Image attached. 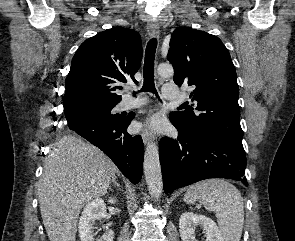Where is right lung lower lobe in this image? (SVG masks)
<instances>
[{
	"label": "right lung lower lobe",
	"instance_id": "right-lung-lower-lobe-1",
	"mask_svg": "<svg viewBox=\"0 0 295 241\" xmlns=\"http://www.w3.org/2000/svg\"><path fill=\"white\" fill-rule=\"evenodd\" d=\"M133 118L134 115L119 120L90 117L68 122V127L99 147L133 184H137L142 176L144 150L142 138L127 133Z\"/></svg>",
	"mask_w": 295,
	"mask_h": 241
}]
</instances>
